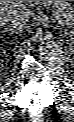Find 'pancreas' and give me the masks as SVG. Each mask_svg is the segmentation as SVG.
<instances>
[{"label": "pancreas", "mask_w": 74, "mask_h": 122, "mask_svg": "<svg viewBox=\"0 0 74 122\" xmlns=\"http://www.w3.org/2000/svg\"><path fill=\"white\" fill-rule=\"evenodd\" d=\"M28 5L33 8L40 5L52 6L56 14L62 16L66 25H72L74 19V8L66 1H27Z\"/></svg>", "instance_id": "1"}]
</instances>
